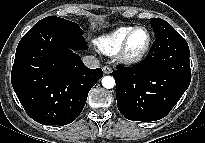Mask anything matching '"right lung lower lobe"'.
I'll return each instance as SVG.
<instances>
[{
    "label": "right lung lower lobe",
    "instance_id": "1",
    "mask_svg": "<svg viewBox=\"0 0 205 143\" xmlns=\"http://www.w3.org/2000/svg\"><path fill=\"white\" fill-rule=\"evenodd\" d=\"M87 47L82 35L53 22H37L20 40L11 83L33 120L63 126L81 113L89 90L103 76L75 53Z\"/></svg>",
    "mask_w": 205,
    "mask_h": 143
}]
</instances>
